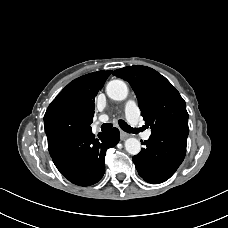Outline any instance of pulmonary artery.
<instances>
[{"label":"pulmonary artery","instance_id":"e3ab8cb5","mask_svg":"<svg viewBox=\"0 0 228 228\" xmlns=\"http://www.w3.org/2000/svg\"><path fill=\"white\" fill-rule=\"evenodd\" d=\"M125 113L128 121L133 125L137 126L140 118V111L137 103L134 100L127 101L125 105ZM107 116H103L102 120L106 119ZM151 136V130H147L141 134L144 140H148Z\"/></svg>","mask_w":228,"mask_h":228}]
</instances>
